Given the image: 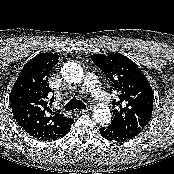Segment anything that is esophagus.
I'll return each mask as SVG.
<instances>
[{"label":"esophagus","mask_w":174,"mask_h":174,"mask_svg":"<svg viewBox=\"0 0 174 174\" xmlns=\"http://www.w3.org/2000/svg\"><path fill=\"white\" fill-rule=\"evenodd\" d=\"M92 108L91 107H88L86 109H82V110H79L80 113H84V112H88L90 111Z\"/></svg>","instance_id":"1"}]
</instances>
